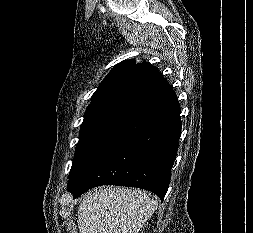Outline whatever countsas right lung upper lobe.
<instances>
[{
	"label": "right lung upper lobe",
	"mask_w": 253,
	"mask_h": 233,
	"mask_svg": "<svg viewBox=\"0 0 253 233\" xmlns=\"http://www.w3.org/2000/svg\"><path fill=\"white\" fill-rule=\"evenodd\" d=\"M164 83V77L150 63L124 60L104 78L93 94L90 105L111 100L137 102Z\"/></svg>",
	"instance_id": "right-lung-upper-lobe-1"
}]
</instances>
